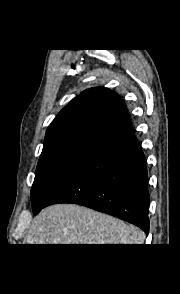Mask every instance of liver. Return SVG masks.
Segmentation results:
<instances>
[{"label":"liver","mask_w":180,"mask_h":294,"mask_svg":"<svg viewBox=\"0 0 180 294\" xmlns=\"http://www.w3.org/2000/svg\"><path fill=\"white\" fill-rule=\"evenodd\" d=\"M144 232L112 216L74 204L43 209L23 244H143Z\"/></svg>","instance_id":"6515ba94"}]
</instances>
